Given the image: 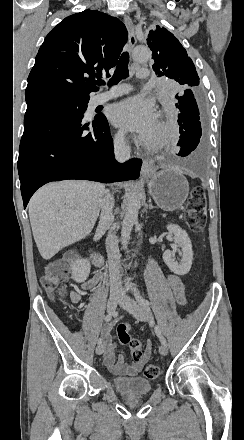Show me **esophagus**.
<instances>
[{
	"instance_id": "34e87169",
	"label": "esophagus",
	"mask_w": 244,
	"mask_h": 440,
	"mask_svg": "<svg viewBox=\"0 0 244 440\" xmlns=\"http://www.w3.org/2000/svg\"><path fill=\"white\" fill-rule=\"evenodd\" d=\"M124 23L126 25V28L128 31V36H129V41H128V45L126 47V50L128 52H131L137 43V39H136V35H135L134 25H133L132 19L129 15H124ZM153 165H154V160L152 158H148V159L143 160V164H142V168H141L142 175L148 174L150 169L153 167Z\"/></svg>"
}]
</instances>
